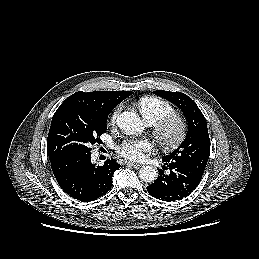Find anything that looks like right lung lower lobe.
Listing matches in <instances>:
<instances>
[{"mask_svg":"<svg viewBox=\"0 0 259 259\" xmlns=\"http://www.w3.org/2000/svg\"><path fill=\"white\" fill-rule=\"evenodd\" d=\"M60 187L81 202L93 201L105 195L112 185L114 172L120 168L115 159L103 166L91 163V153H72L50 160Z\"/></svg>","mask_w":259,"mask_h":259,"instance_id":"right-lung-lower-lobe-1","label":"right lung lower lobe"}]
</instances>
